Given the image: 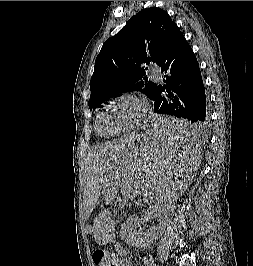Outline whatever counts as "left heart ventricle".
<instances>
[{"instance_id": "left-heart-ventricle-1", "label": "left heart ventricle", "mask_w": 253, "mask_h": 266, "mask_svg": "<svg viewBox=\"0 0 253 266\" xmlns=\"http://www.w3.org/2000/svg\"><path fill=\"white\" fill-rule=\"evenodd\" d=\"M139 112V105L132 100H121L107 107L99 119V131L111 135L129 125Z\"/></svg>"}]
</instances>
